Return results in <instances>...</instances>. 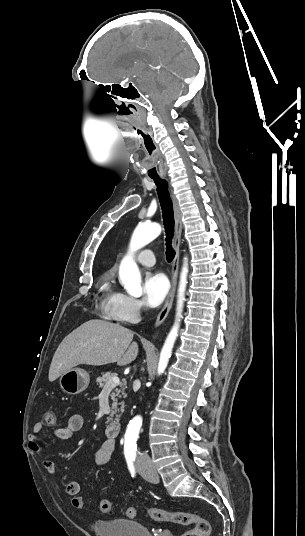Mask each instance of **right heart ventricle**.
Wrapping results in <instances>:
<instances>
[{"label": "right heart ventricle", "instance_id": "obj_1", "mask_svg": "<svg viewBox=\"0 0 305 536\" xmlns=\"http://www.w3.org/2000/svg\"><path fill=\"white\" fill-rule=\"evenodd\" d=\"M117 292L110 276L105 275L100 288V301L104 309L108 312L111 309Z\"/></svg>", "mask_w": 305, "mask_h": 536}]
</instances>
